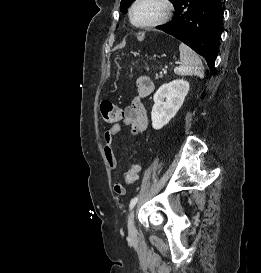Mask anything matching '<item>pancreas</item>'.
Here are the masks:
<instances>
[{
	"label": "pancreas",
	"instance_id": "1",
	"mask_svg": "<svg viewBox=\"0 0 261 273\" xmlns=\"http://www.w3.org/2000/svg\"><path fill=\"white\" fill-rule=\"evenodd\" d=\"M162 78V75H156V79Z\"/></svg>",
	"mask_w": 261,
	"mask_h": 273
}]
</instances>
